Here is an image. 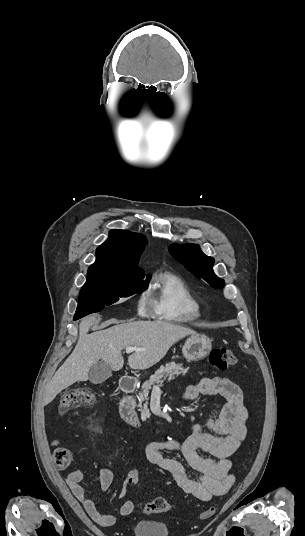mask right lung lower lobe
<instances>
[{"instance_id": "98d812e1", "label": "right lung lower lobe", "mask_w": 305, "mask_h": 536, "mask_svg": "<svg viewBox=\"0 0 305 536\" xmlns=\"http://www.w3.org/2000/svg\"><path fill=\"white\" fill-rule=\"evenodd\" d=\"M77 319H80V318L74 317V320H77Z\"/></svg>"}]
</instances>
